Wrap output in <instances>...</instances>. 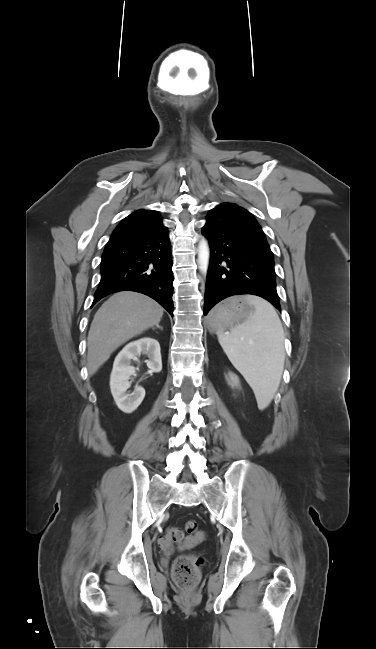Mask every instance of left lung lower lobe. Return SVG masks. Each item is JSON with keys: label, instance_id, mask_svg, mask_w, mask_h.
<instances>
[{"label": "left lung lower lobe", "instance_id": "obj_1", "mask_svg": "<svg viewBox=\"0 0 376 649\" xmlns=\"http://www.w3.org/2000/svg\"><path fill=\"white\" fill-rule=\"evenodd\" d=\"M203 234L210 246L204 315L221 300L238 294L260 296L281 310L274 258L265 238L211 215Z\"/></svg>", "mask_w": 376, "mask_h": 649}]
</instances>
